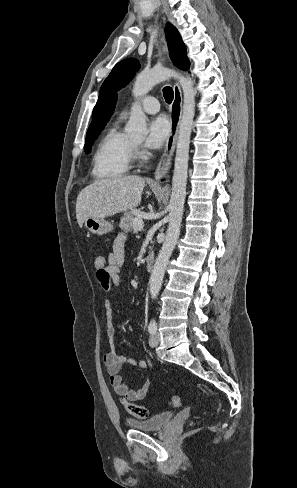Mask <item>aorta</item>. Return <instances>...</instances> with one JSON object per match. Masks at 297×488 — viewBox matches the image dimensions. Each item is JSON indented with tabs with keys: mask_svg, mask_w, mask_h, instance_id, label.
<instances>
[{
	"mask_svg": "<svg viewBox=\"0 0 297 488\" xmlns=\"http://www.w3.org/2000/svg\"><path fill=\"white\" fill-rule=\"evenodd\" d=\"M170 77L177 78L182 88L183 109L176 146L172 193L169 203V226L165 241L156 258L149 280V290L153 299L157 297L161 289L167 264L180 234L186 197L190 136L195 115V90L191 80L165 67H154L150 71H144L138 74L133 86V95L138 99L142 95L147 94L157 83L163 82ZM146 119L147 117L142 111L140 104L137 102L134 103L131 107V116L126 124L125 131L135 136L147 134Z\"/></svg>",
	"mask_w": 297,
	"mask_h": 488,
	"instance_id": "1",
	"label": "aorta"
}]
</instances>
